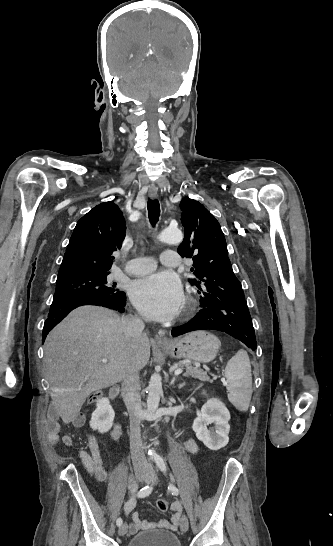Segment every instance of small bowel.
Masks as SVG:
<instances>
[{"mask_svg":"<svg viewBox=\"0 0 333 546\" xmlns=\"http://www.w3.org/2000/svg\"><path fill=\"white\" fill-rule=\"evenodd\" d=\"M83 423V417L78 416L74 421L73 424L76 426H80ZM48 429V441L51 445L57 446L58 444L62 443L66 447L73 448V441L68 435H63L61 433V427L58 423L57 418H51L49 420V423L47 425ZM89 446H90V452H86L83 450L79 451V455L83 460V463L85 465V468L87 472L94 475L96 479H101L106 475V471L103 466V462L100 456L98 443L96 441V438L93 435H89ZM185 447L188 450V452L192 454H196L198 452V445L196 442L192 439H189L185 442ZM135 500L130 499L125 503L124 509L126 514H130L135 507ZM181 505L179 502H175L172 506L173 514L170 521H161L159 523V526L174 530L178 527L180 522V512H181ZM133 522L129 524L128 529L131 534L136 533L138 530L149 527L153 523L149 521H145L140 519L138 513L134 512L132 514Z\"/></svg>","mask_w":333,"mask_h":546,"instance_id":"small-bowel-1","label":"small bowel"}]
</instances>
